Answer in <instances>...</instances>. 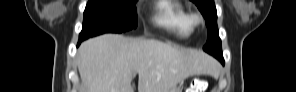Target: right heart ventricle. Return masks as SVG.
<instances>
[{"mask_svg": "<svg viewBox=\"0 0 296 92\" xmlns=\"http://www.w3.org/2000/svg\"><path fill=\"white\" fill-rule=\"evenodd\" d=\"M155 23L181 37L190 35L193 28L190 13L177 1L158 2Z\"/></svg>", "mask_w": 296, "mask_h": 92, "instance_id": "1", "label": "right heart ventricle"}]
</instances>
